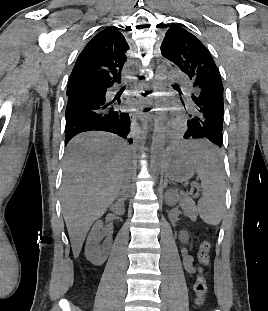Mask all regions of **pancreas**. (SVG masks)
<instances>
[{
  "instance_id": "cf45deb5",
  "label": "pancreas",
  "mask_w": 268,
  "mask_h": 311,
  "mask_svg": "<svg viewBox=\"0 0 268 311\" xmlns=\"http://www.w3.org/2000/svg\"><path fill=\"white\" fill-rule=\"evenodd\" d=\"M180 202V206L185 210L187 216H191L196 212V206L192 199L183 197L180 199Z\"/></svg>"
}]
</instances>
